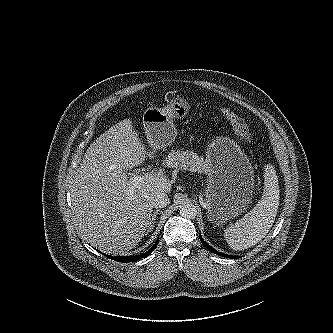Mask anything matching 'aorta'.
I'll list each match as a JSON object with an SVG mask.
<instances>
[{
  "label": "aorta",
  "mask_w": 333,
  "mask_h": 333,
  "mask_svg": "<svg viewBox=\"0 0 333 333\" xmlns=\"http://www.w3.org/2000/svg\"><path fill=\"white\" fill-rule=\"evenodd\" d=\"M180 215L186 219H194L197 216V207L192 203H184L179 209Z\"/></svg>",
  "instance_id": "aorta-1"
}]
</instances>
